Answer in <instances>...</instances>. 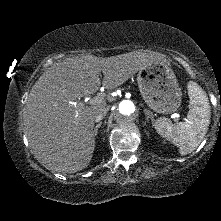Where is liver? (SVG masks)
<instances>
[{"label": "liver", "mask_w": 221, "mask_h": 221, "mask_svg": "<svg viewBox=\"0 0 221 221\" xmlns=\"http://www.w3.org/2000/svg\"><path fill=\"white\" fill-rule=\"evenodd\" d=\"M155 62L168 64L163 54L134 51L107 58L85 54L49 67L24 106L25 132L37 160L62 173L86 168L95 149V117L106 103L86 106L78 100L100 88L101 72L110 90Z\"/></svg>", "instance_id": "6515ba94"}]
</instances>
